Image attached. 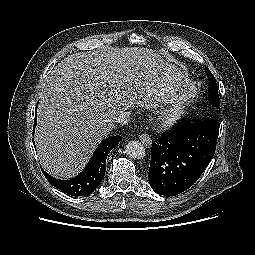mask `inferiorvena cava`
<instances>
[{
	"label": "inferior vena cava",
	"mask_w": 255,
	"mask_h": 255,
	"mask_svg": "<svg viewBox=\"0 0 255 255\" xmlns=\"http://www.w3.org/2000/svg\"><path fill=\"white\" fill-rule=\"evenodd\" d=\"M129 112H121L117 117L114 118L113 122L126 125L129 122Z\"/></svg>",
	"instance_id": "602c4592"
}]
</instances>
